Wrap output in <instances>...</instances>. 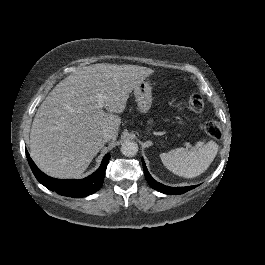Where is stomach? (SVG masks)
Masks as SVG:
<instances>
[{"instance_id":"1","label":"stomach","mask_w":265,"mask_h":265,"mask_svg":"<svg viewBox=\"0 0 265 265\" xmlns=\"http://www.w3.org/2000/svg\"><path fill=\"white\" fill-rule=\"evenodd\" d=\"M133 94L141 111H147L152 101L151 86L145 80H141L133 87Z\"/></svg>"}]
</instances>
